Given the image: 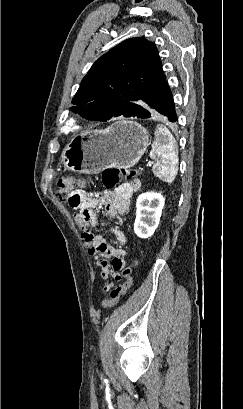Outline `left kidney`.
<instances>
[{"mask_svg": "<svg viewBox=\"0 0 243 409\" xmlns=\"http://www.w3.org/2000/svg\"><path fill=\"white\" fill-rule=\"evenodd\" d=\"M165 199L159 193L141 194L136 201L134 232L140 238L152 236L159 225Z\"/></svg>", "mask_w": 243, "mask_h": 409, "instance_id": "1", "label": "left kidney"}]
</instances>
